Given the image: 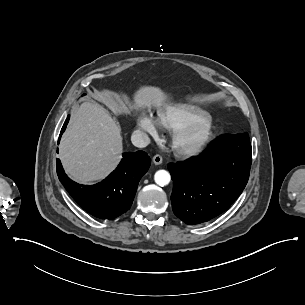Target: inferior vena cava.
<instances>
[{
    "label": "inferior vena cava",
    "instance_id": "602c4592",
    "mask_svg": "<svg viewBox=\"0 0 305 305\" xmlns=\"http://www.w3.org/2000/svg\"><path fill=\"white\" fill-rule=\"evenodd\" d=\"M131 142L134 146L143 148L150 144V139L146 133L135 130L131 136Z\"/></svg>",
    "mask_w": 305,
    "mask_h": 305
}]
</instances>
